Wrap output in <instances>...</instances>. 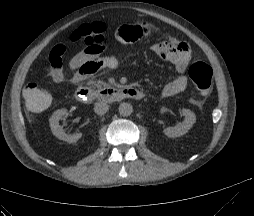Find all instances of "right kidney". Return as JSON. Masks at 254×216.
<instances>
[{"mask_svg": "<svg viewBox=\"0 0 254 216\" xmlns=\"http://www.w3.org/2000/svg\"><path fill=\"white\" fill-rule=\"evenodd\" d=\"M66 114H67L66 109H60L55 111L49 119L50 128L52 130L53 135L58 139L67 141L68 143H74L77 142L82 137V133L66 134L63 131V126L59 124V120L61 119L62 116H65Z\"/></svg>", "mask_w": 254, "mask_h": 216, "instance_id": "right-kidney-1", "label": "right kidney"}]
</instances>
